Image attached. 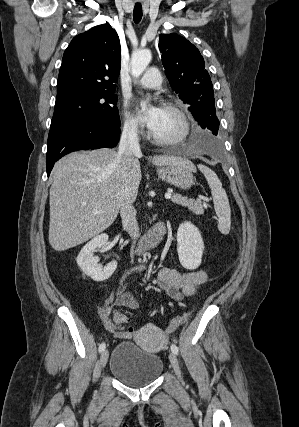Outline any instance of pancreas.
<instances>
[{
	"instance_id": "1",
	"label": "pancreas",
	"mask_w": 299,
	"mask_h": 427,
	"mask_svg": "<svg viewBox=\"0 0 299 427\" xmlns=\"http://www.w3.org/2000/svg\"><path fill=\"white\" fill-rule=\"evenodd\" d=\"M171 201L183 207H187L196 215H202L204 213V205L199 199H188L187 197L182 196L181 194H173L171 197Z\"/></svg>"
}]
</instances>
